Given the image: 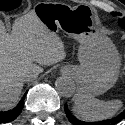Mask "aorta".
Segmentation results:
<instances>
[{
	"mask_svg": "<svg viewBox=\"0 0 125 125\" xmlns=\"http://www.w3.org/2000/svg\"><path fill=\"white\" fill-rule=\"evenodd\" d=\"M55 88L63 97H71L76 89L74 81L69 77H59L55 82Z\"/></svg>",
	"mask_w": 125,
	"mask_h": 125,
	"instance_id": "aorta-1",
	"label": "aorta"
}]
</instances>
